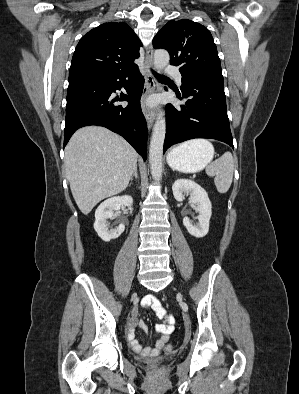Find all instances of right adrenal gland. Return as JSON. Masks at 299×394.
<instances>
[{"label": "right adrenal gland", "instance_id": "1", "mask_svg": "<svg viewBox=\"0 0 299 394\" xmlns=\"http://www.w3.org/2000/svg\"><path fill=\"white\" fill-rule=\"evenodd\" d=\"M133 178H135V179H138V171H137V167L135 168V170H134V173H133V175H132V177H131V181H133Z\"/></svg>", "mask_w": 299, "mask_h": 394}]
</instances>
